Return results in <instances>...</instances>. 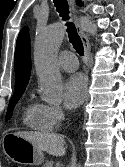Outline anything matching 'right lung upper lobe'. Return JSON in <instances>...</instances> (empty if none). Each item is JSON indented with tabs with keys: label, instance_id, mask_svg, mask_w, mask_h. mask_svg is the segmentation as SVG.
<instances>
[{
	"label": "right lung upper lobe",
	"instance_id": "obj_1",
	"mask_svg": "<svg viewBox=\"0 0 125 167\" xmlns=\"http://www.w3.org/2000/svg\"><path fill=\"white\" fill-rule=\"evenodd\" d=\"M14 68L15 89L26 88L31 72L30 38L28 34V27H24L17 38L16 50L14 54Z\"/></svg>",
	"mask_w": 125,
	"mask_h": 167
}]
</instances>
